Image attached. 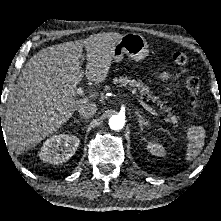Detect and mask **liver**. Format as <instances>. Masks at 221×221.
Here are the masks:
<instances>
[{
	"label": "liver",
	"instance_id": "6515ba94",
	"mask_svg": "<svg viewBox=\"0 0 221 221\" xmlns=\"http://www.w3.org/2000/svg\"><path fill=\"white\" fill-rule=\"evenodd\" d=\"M122 37L116 32L91 35L40 50L26 63L10 94L4 129L12 150L21 155L58 131L89 98H79L76 87L84 74L102 83ZM86 50V70L80 58Z\"/></svg>",
	"mask_w": 221,
	"mask_h": 221
}]
</instances>
